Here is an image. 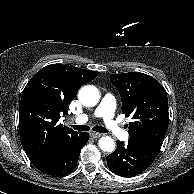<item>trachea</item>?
Here are the masks:
<instances>
[{
  "instance_id": "1",
  "label": "trachea",
  "mask_w": 194,
  "mask_h": 194,
  "mask_svg": "<svg viewBox=\"0 0 194 194\" xmlns=\"http://www.w3.org/2000/svg\"><path fill=\"white\" fill-rule=\"evenodd\" d=\"M73 129L78 131H88L90 127L87 125H71ZM93 131L100 132V133H108V130L102 126H94L92 128Z\"/></svg>"
}]
</instances>
